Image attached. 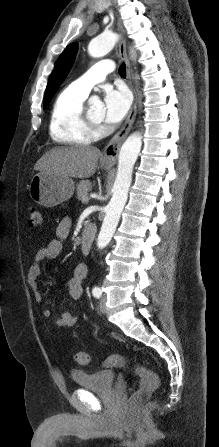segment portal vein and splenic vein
<instances>
[{
	"label": "portal vein and splenic vein",
	"mask_w": 219,
	"mask_h": 447,
	"mask_svg": "<svg viewBox=\"0 0 219 447\" xmlns=\"http://www.w3.org/2000/svg\"><path fill=\"white\" fill-rule=\"evenodd\" d=\"M88 201H89L88 196H84V197L82 198V202H83V203L88 202Z\"/></svg>",
	"instance_id": "18ae733b"
}]
</instances>
